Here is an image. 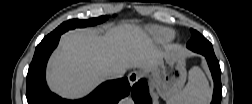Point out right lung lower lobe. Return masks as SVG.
Masks as SVG:
<instances>
[{"mask_svg": "<svg viewBox=\"0 0 252 104\" xmlns=\"http://www.w3.org/2000/svg\"><path fill=\"white\" fill-rule=\"evenodd\" d=\"M59 39L60 35L42 40L36 47L27 74L28 104H117L121 98L128 96L130 85L127 78L107 81L80 100H65L52 93L46 84L45 69L48 58L57 47Z\"/></svg>", "mask_w": 252, "mask_h": 104, "instance_id": "obj_1", "label": "right lung lower lobe"}]
</instances>
